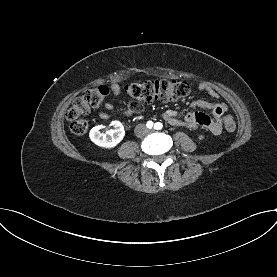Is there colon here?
I'll return each instance as SVG.
<instances>
[{"label": "colon", "instance_id": "obj_1", "mask_svg": "<svg viewBox=\"0 0 277 277\" xmlns=\"http://www.w3.org/2000/svg\"><path fill=\"white\" fill-rule=\"evenodd\" d=\"M189 91L190 86L187 82L166 79L131 83L125 87V92L131 98L143 102H171L185 97ZM108 92L106 86H96L86 90L75 99L66 114L71 122L70 129L74 134L82 135L87 132L88 122L81 117L89 113L91 109L101 106L105 102ZM223 123L228 131L236 128L235 120L231 115H225Z\"/></svg>", "mask_w": 277, "mask_h": 277}]
</instances>
